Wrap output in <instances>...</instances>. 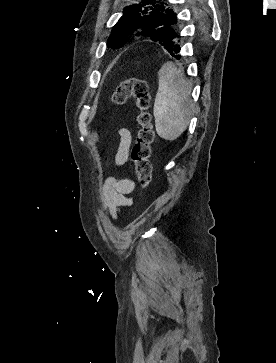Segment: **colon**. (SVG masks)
Instances as JSON below:
<instances>
[{
    "instance_id": "obj_1",
    "label": "colon",
    "mask_w": 276,
    "mask_h": 363,
    "mask_svg": "<svg viewBox=\"0 0 276 363\" xmlns=\"http://www.w3.org/2000/svg\"><path fill=\"white\" fill-rule=\"evenodd\" d=\"M130 97L135 99L136 106L139 109L137 117L139 131L132 150L131 159L141 187L147 189L152 180L151 156L152 143L155 140V132L148 111L150 90L147 81L143 79H129L121 82L113 93V102L117 105H122Z\"/></svg>"
}]
</instances>
